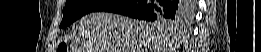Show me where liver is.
I'll use <instances>...</instances> for the list:
<instances>
[{
	"mask_svg": "<svg viewBox=\"0 0 261 52\" xmlns=\"http://www.w3.org/2000/svg\"><path fill=\"white\" fill-rule=\"evenodd\" d=\"M72 52H172L170 28L114 13H90L79 20Z\"/></svg>",
	"mask_w": 261,
	"mask_h": 52,
	"instance_id": "6515ba94",
	"label": "liver"
}]
</instances>
